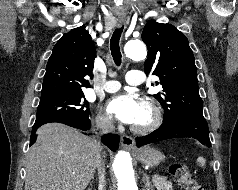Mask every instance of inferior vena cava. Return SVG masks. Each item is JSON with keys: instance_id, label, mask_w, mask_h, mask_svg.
Here are the masks:
<instances>
[{"instance_id": "obj_1", "label": "inferior vena cava", "mask_w": 238, "mask_h": 190, "mask_svg": "<svg viewBox=\"0 0 238 190\" xmlns=\"http://www.w3.org/2000/svg\"><path fill=\"white\" fill-rule=\"evenodd\" d=\"M96 124L100 128L102 134L112 132L115 129L113 121L110 118H99L97 119ZM96 162L99 175V190H104L103 188L105 187V164L100 154H98Z\"/></svg>"}]
</instances>
